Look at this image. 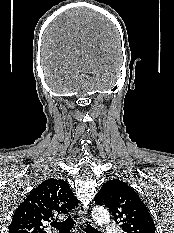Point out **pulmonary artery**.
<instances>
[{
  "mask_svg": "<svg viewBox=\"0 0 174 233\" xmlns=\"http://www.w3.org/2000/svg\"><path fill=\"white\" fill-rule=\"evenodd\" d=\"M107 233H121L117 226L110 224L106 227Z\"/></svg>",
  "mask_w": 174,
  "mask_h": 233,
  "instance_id": "obj_1",
  "label": "pulmonary artery"
}]
</instances>
